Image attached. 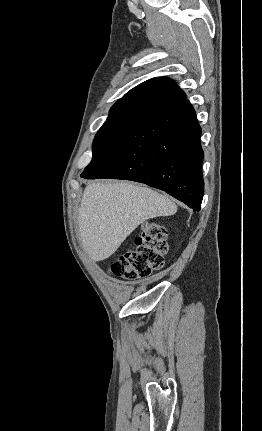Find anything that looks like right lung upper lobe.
I'll return each mask as SVG.
<instances>
[{"label": "right lung upper lobe", "mask_w": 262, "mask_h": 431, "mask_svg": "<svg viewBox=\"0 0 262 431\" xmlns=\"http://www.w3.org/2000/svg\"><path fill=\"white\" fill-rule=\"evenodd\" d=\"M186 100L185 93L170 79L157 77L131 89L111 108L104 125H134Z\"/></svg>", "instance_id": "cb5924a9"}]
</instances>
